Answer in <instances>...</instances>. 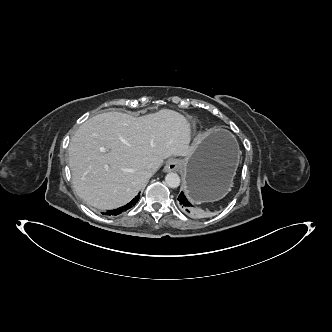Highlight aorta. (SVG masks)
<instances>
[{
    "label": "aorta",
    "instance_id": "1",
    "mask_svg": "<svg viewBox=\"0 0 332 332\" xmlns=\"http://www.w3.org/2000/svg\"><path fill=\"white\" fill-rule=\"evenodd\" d=\"M166 185L170 188H177L180 185V177L176 173H168L165 177Z\"/></svg>",
    "mask_w": 332,
    "mask_h": 332
}]
</instances>
